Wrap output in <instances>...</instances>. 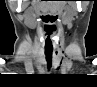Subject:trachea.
<instances>
[{"label":"trachea","mask_w":97,"mask_h":87,"mask_svg":"<svg viewBox=\"0 0 97 87\" xmlns=\"http://www.w3.org/2000/svg\"><path fill=\"white\" fill-rule=\"evenodd\" d=\"M52 49H46L45 50V55H46V60L48 62V67H51V61H52Z\"/></svg>","instance_id":"3493384b"}]
</instances>
